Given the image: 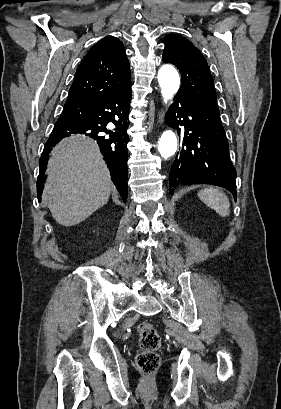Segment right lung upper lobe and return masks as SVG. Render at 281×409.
I'll list each match as a JSON object with an SVG mask.
<instances>
[{
  "mask_svg": "<svg viewBox=\"0 0 281 409\" xmlns=\"http://www.w3.org/2000/svg\"><path fill=\"white\" fill-rule=\"evenodd\" d=\"M131 85L123 43L114 36L97 42L80 63L66 103L102 99Z\"/></svg>",
  "mask_w": 281,
  "mask_h": 409,
  "instance_id": "cb5924a9",
  "label": "right lung upper lobe"
}]
</instances>
